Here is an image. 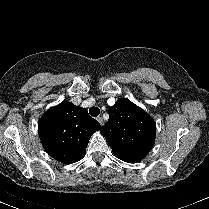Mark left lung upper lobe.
Listing matches in <instances>:
<instances>
[{
	"instance_id": "obj_1",
	"label": "left lung upper lobe",
	"mask_w": 209,
	"mask_h": 209,
	"mask_svg": "<svg viewBox=\"0 0 209 209\" xmlns=\"http://www.w3.org/2000/svg\"><path fill=\"white\" fill-rule=\"evenodd\" d=\"M100 132L117 158L136 163L154 146L156 125L143 109L120 98L110 107L109 120Z\"/></svg>"
}]
</instances>
